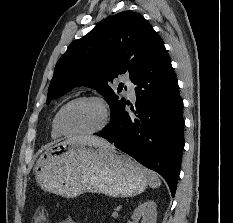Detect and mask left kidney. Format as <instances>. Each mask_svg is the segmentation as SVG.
I'll list each match as a JSON object with an SVG mask.
<instances>
[{
    "instance_id": "left-kidney-1",
    "label": "left kidney",
    "mask_w": 233,
    "mask_h": 223,
    "mask_svg": "<svg viewBox=\"0 0 233 223\" xmlns=\"http://www.w3.org/2000/svg\"><path fill=\"white\" fill-rule=\"evenodd\" d=\"M131 217L133 219L131 223H137L139 217H142V223H156L157 205L155 201L153 199L143 201L138 207H135Z\"/></svg>"
}]
</instances>
